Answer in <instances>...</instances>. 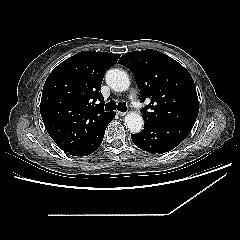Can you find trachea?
Masks as SVG:
<instances>
[{"instance_id": "trachea-1", "label": "trachea", "mask_w": 240, "mask_h": 240, "mask_svg": "<svg viewBox=\"0 0 240 240\" xmlns=\"http://www.w3.org/2000/svg\"><path fill=\"white\" fill-rule=\"evenodd\" d=\"M115 109H117L121 112H126L127 111L126 103L120 102V103L116 104V102H114L112 100L109 101L108 103H106V105H105L106 111H113Z\"/></svg>"}]
</instances>
